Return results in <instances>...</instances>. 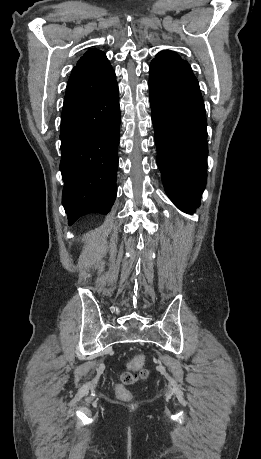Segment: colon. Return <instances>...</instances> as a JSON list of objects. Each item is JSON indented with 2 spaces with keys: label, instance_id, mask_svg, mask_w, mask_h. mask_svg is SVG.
<instances>
[{
  "label": "colon",
  "instance_id": "1",
  "mask_svg": "<svg viewBox=\"0 0 261 459\" xmlns=\"http://www.w3.org/2000/svg\"><path fill=\"white\" fill-rule=\"evenodd\" d=\"M143 362L144 355L136 354L128 362L127 369L120 373L119 383L116 385V395L120 399L128 400L131 395L126 387L132 385L137 380L145 379L147 377V371L141 369Z\"/></svg>",
  "mask_w": 261,
  "mask_h": 459
}]
</instances>
